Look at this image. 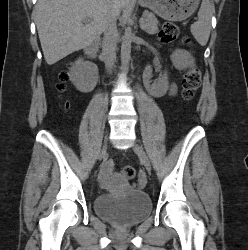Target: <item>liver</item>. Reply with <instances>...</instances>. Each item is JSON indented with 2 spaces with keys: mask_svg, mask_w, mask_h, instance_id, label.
Masks as SVG:
<instances>
[{
  "mask_svg": "<svg viewBox=\"0 0 248 250\" xmlns=\"http://www.w3.org/2000/svg\"><path fill=\"white\" fill-rule=\"evenodd\" d=\"M127 0H38L35 20L48 65L90 45L104 30L106 17L120 15ZM89 18L90 22L84 24Z\"/></svg>",
  "mask_w": 248,
  "mask_h": 250,
  "instance_id": "obj_1",
  "label": "liver"
}]
</instances>
